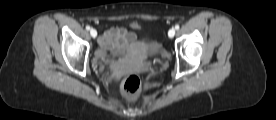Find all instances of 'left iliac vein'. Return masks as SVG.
Masks as SVG:
<instances>
[{"label": "left iliac vein", "mask_w": 276, "mask_h": 120, "mask_svg": "<svg viewBox=\"0 0 276 120\" xmlns=\"http://www.w3.org/2000/svg\"><path fill=\"white\" fill-rule=\"evenodd\" d=\"M174 35H175V29H174V28H171V29L168 31V36H169L170 38H172V37H174Z\"/></svg>", "instance_id": "1"}]
</instances>
